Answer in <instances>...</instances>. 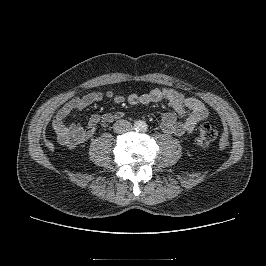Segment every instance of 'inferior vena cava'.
Returning <instances> with one entry per match:
<instances>
[{"instance_id": "inferior-vena-cava-1", "label": "inferior vena cava", "mask_w": 266, "mask_h": 266, "mask_svg": "<svg viewBox=\"0 0 266 266\" xmlns=\"http://www.w3.org/2000/svg\"><path fill=\"white\" fill-rule=\"evenodd\" d=\"M113 128L116 133L122 134L130 131L132 129V125L129 121L121 119L115 122Z\"/></svg>"}]
</instances>
